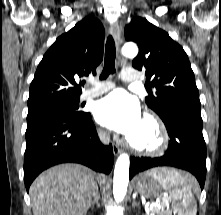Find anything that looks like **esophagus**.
<instances>
[{"label":"esophagus","mask_w":221,"mask_h":215,"mask_svg":"<svg viewBox=\"0 0 221 215\" xmlns=\"http://www.w3.org/2000/svg\"><path fill=\"white\" fill-rule=\"evenodd\" d=\"M110 31L114 37L117 52L119 53L121 47V31L117 22H114L110 25ZM118 60L120 64H122L124 61L123 58L120 56V54L118 55ZM121 151H122L121 147L118 144L113 143L114 155L118 156L121 153Z\"/></svg>","instance_id":"1"}]
</instances>
